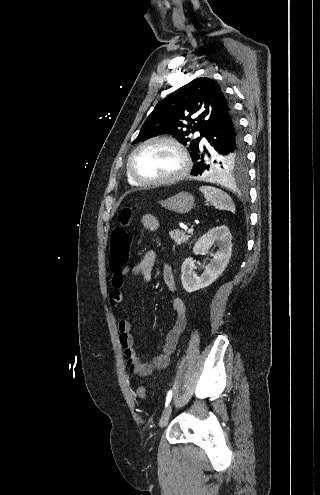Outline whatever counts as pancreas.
<instances>
[{"label":"pancreas","instance_id":"obj_1","mask_svg":"<svg viewBox=\"0 0 320 495\" xmlns=\"http://www.w3.org/2000/svg\"><path fill=\"white\" fill-rule=\"evenodd\" d=\"M169 235L177 245H181L191 238V235H186L184 231L179 229L170 231Z\"/></svg>","mask_w":320,"mask_h":495}]
</instances>
